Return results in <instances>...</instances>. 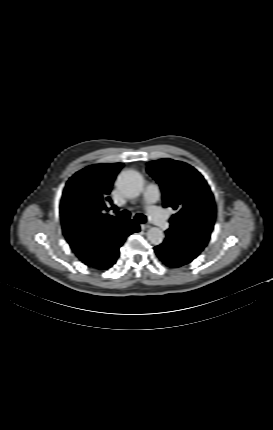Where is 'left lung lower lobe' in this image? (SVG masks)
Segmentation results:
<instances>
[{"instance_id": "left-lung-lower-lobe-1", "label": "left lung lower lobe", "mask_w": 273, "mask_h": 430, "mask_svg": "<svg viewBox=\"0 0 273 430\" xmlns=\"http://www.w3.org/2000/svg\"><path fill=\"white\" fill-rule=\"evenodd\" d=\"M155 252L167 266L176 268L190 263L196 257L182 253L174 244V239L166 233L164 242L155 248Z\"/></svg>"}]
</instances>
